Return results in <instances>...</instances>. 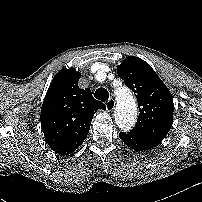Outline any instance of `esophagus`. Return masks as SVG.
Returning a JSON list of instances; mask_svg holds the SVG:
<instances>
[{
    "instance_id": "esophagus-1",
    "label": "esophagus",
    "mask_w": 202,
    "mask_h": 202,
    "mask_svg": "<svg viewBox=\"0 0 202 202\" xmlns=\"http://www.w3.org/2000/svg\"><path fill=\"white\" fill-rule=\"evenodd\" d=\"M116 102L113 98H110L107 102H106V109L107 111H112L115 108Z\"/></svg>"
}]
</instances>
